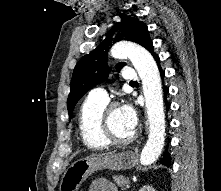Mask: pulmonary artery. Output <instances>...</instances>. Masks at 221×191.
Wrapping results in <instances>:
<instances>
[{
  "label": "pulmonary artery",
  "mask_w": 221,
  "mask_h": 191,
  "mask_svg": "<svg viewBox=\"0 0 221 191\" xmlns=\"http://www.w3.org/2000/svg\"><path fill=\"white\" fill-rule=\"evenodd\" d=\"M122 78L126 82H134L138 79L137 73L131 69V68H125L122 71ZM90 98L99 100V101H105L108 102V94L105 89L103 88H96L93 89L89 95Z\"/></svg>",
  "instance_id": "e3ab8cb5"
}]
</instances>
